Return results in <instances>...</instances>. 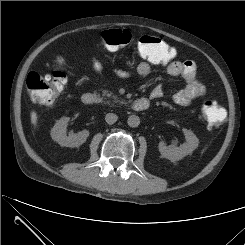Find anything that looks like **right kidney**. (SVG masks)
Segmentation results:
<instances>
[{"mask_svg":"<svg viewBox=\"0 0 245 245\" xmlns=\"http://www.w3.org/2000/svg\"><path fill=\"white\" fill-rule=\"evenodd\" d=\"M69 121V117H62L60 120H58L51 130V137L61 146L79 147L86 141L87 137L89 136V131L84 130L78 132L77 134H70L67 136V126Z\"/></svg>","mask_w":245,"mask_h":245,"instance_id":"right-kidney-1","label":"right kidney"}]
</instances>
